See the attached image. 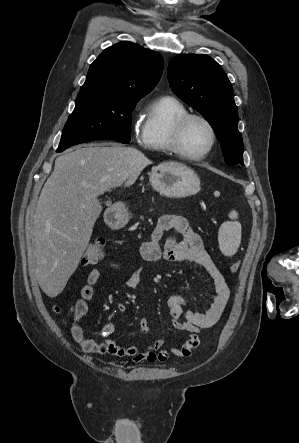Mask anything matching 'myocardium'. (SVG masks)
I'll return each instance as SVG.
<instances>
[{"instance_id": "obj_1", "label": "myocardium", "mask_w": 299, "mask_h": 443, "mask_svg": "<svg viewBox=\"0 0 299 443\" xmlns=\"http://www.w3.org/2000/svg\"><path fill=\"white\" fill-rule=\"evenodd\" d=\"M191 119H199L208 127L211 140L208 148L201 154L193 155L187 153L182 146V135L185 129L186 124ZM217 141V135L213 124L210 122L208 118L198 113L186 112L180 115L173 124L172 132H171V147L174 153L179 155L180 157L188 160H201L206 158L214 149Z\"/></svg>"}]
</instances>
